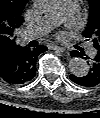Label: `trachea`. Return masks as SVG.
<instances>
[{
	"label": "trachea",
	"instance_id": "3493384b",
	"mask_svg": "<svg viewBox=\"0 0 100 118\" xmlns=\"http://www.w3.org/2000/svg\"><path fill=\"white\" fill-rule=\"evenodd\" d=\"M36 45H37V43H36L35 41H31V42L29 43V46H30V47H36Z\"/></svg>",
	"mask_w": 100,
	"mask_h": 118
}]
</instances>
